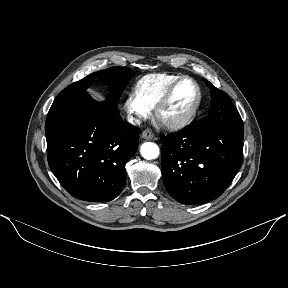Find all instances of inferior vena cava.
Segmentation results:
<instances>
[{
    "label": "inferior vena cava",
    "mask_w": 288,
    "mask_h": 288,
    "mask_svg": "<svg viewBox=\"0 0 288 288\" xmlns=\"http://www.w3.org/2000/svg\"><path fill=\"white\" fill-rule=\"evenodd\" d=\"M127 121L129 123H131L132 125H137V124H140L141 123V120L138 119V118H135L133 116H127Z\"/></svg>",
    "instance_id": "1"
}]
</instances>
